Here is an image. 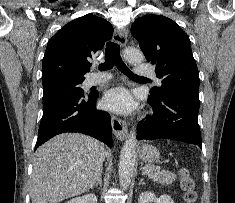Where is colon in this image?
Masks as SVG:
<instances>
[{
    "mask_svg": "<svg viewBox=\"0 0 235 203\" xmlns=\"http://www.w3.org/2000/svg\"><path fill=\"white\" fill-rule=\"evenodd\" d=\"M181 176V188L183 190V196L187 203H194L197 200L196 183L191 177L190 172L182 168L180 171Z\"/></svg>",
    "mask_w": 235,
    "mask_h": 203,
    "instance_id": "colon-1",
    "label": "colon"
}]
</instances>
